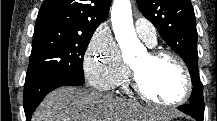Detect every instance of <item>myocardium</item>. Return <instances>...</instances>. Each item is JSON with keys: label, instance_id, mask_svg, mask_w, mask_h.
Returning <instances> with one entry per match:
<instances>
[{"label": "myocardium", "instance_id": "obj_1", "mask_svg": "<svg viewBox=\"0 0 217 121\" xmlns=\"http://www.w3.org/2000/svg\"><path fill=\"white\" fill-rule=\"evenodd\" d=\"M148 56L153 61L159 60L161 58H169V59L173 60V62L177 65V67L180 69V71L183 75L184 89H183L181 95L177 99H175L171 102H162V101L152 97L145 90V88L141 82V79L139 77V74L137 73V71L134 68H132L130 66L131 83H132V87H133L135 93L147 102H150V103L156 104V105L165 106V107H177V106L183 104L184 102H186L192 93L193 83H192V79H191V75H190V72L188 70V67H187L186 63L183 61V59L179 55H177L176 53L169 51V50H153V51L148 53Z\"/></svg>", "mask_w": 217, "mask_h": 121}]
</instances>
